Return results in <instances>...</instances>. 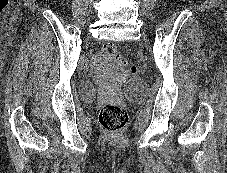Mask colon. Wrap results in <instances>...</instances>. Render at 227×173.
<instances>
[{
  "label": "colon",
  "instance_id": "obj_1",
  "mask_svg": "<svg viewBox=\"0 0 227 173\" xmlns=\"http://www.w3.org/2000/svg\"><path fill=\"white\" fill-rule=\"evenodd\" d=\"M103 52L106 56L117 60L120 65L128 67L132 74L137 73V67L127 57L120 55L113 44H106L103 47ZM98 117L101 126L111 133L121 131L128 120L125 109L117 103L103 104L99 110Z\"/></svg>",
  "mask_w": 227,
  "mask_h": 173
}]
</instances>
